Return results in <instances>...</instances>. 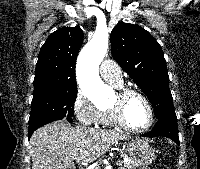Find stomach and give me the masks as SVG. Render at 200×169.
I'll list each match as a JSON object with an SVG mask.
<instances>
[{
  "mask_svg": "<svg viewBox=\"0 0 200 169\" xmlns=\"http://www.w3.org/2000/svg\"><path fill=\"white\" fill-rule=\"evenodd\" d=\"M131 160L137 166H145L155 159L154 149L144 140H127L125 142Z\"/></svg>",
  "mask_w": 200,
  "mask_h": 169,
  "instance_id": "1",
  "label": "stomach"
}]
</instances>
